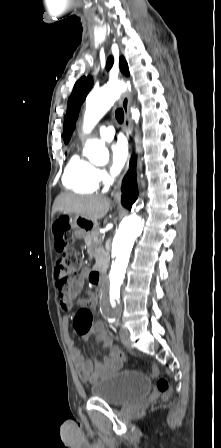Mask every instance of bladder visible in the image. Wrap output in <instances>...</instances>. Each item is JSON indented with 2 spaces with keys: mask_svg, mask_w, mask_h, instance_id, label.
<instances>
[{
  "mask_svg": "<svg viewBox=\"0 0 221 448\" xmlns=\"http://www.w3.org/2000/svg\"><path fill=\"white\" fill-rule=\"evenodd\" d=\"M152 382L139 370L123 369L94 381L90 387L93 398L111 406H122L149 395Z\"/></svg>",
  "mask_w": 221,
  "mask_h": 448,
  "instance_id": "obj_1",
  "label": "bladder"
}]
</instances>
